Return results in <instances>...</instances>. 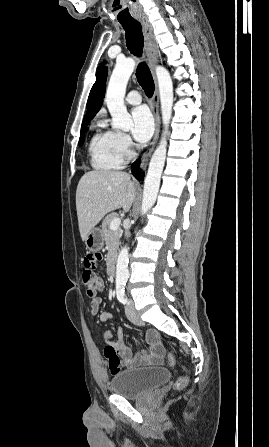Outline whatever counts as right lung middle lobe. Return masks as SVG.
Here are the masks:
<instances>
[{
	"mask_svg": "<svg viewBox=\"0 0 269 447\" xmlns=\"http://www.w3.org/2000/svg\"><path fill=\"white\" fill-rule=\"evenodd\" d=\"M88 124H85L81 127V132H80V139H79V146H82L84 143V137H85V131H86V126Z\"/></svg>",
	"mask_w": 269,
	"mask_h": 447,
	"instance_id": "obj_1",
	"label": "right lung middle lobe"
}]
</instances>
